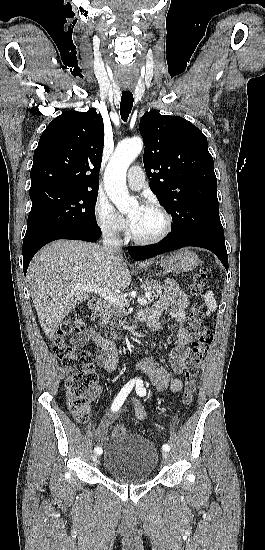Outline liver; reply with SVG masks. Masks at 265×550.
Listing matches in <instances>:
<instances>
[{"label":"liver","instance_id":"1","mask_svg":"<svg viewBox=\"0 0 265 550\" xmlns=\"http://www.w3.org/2000/svg\"><path fill=\"white\" fill-rule=\"evenodd\" d=\"M27 279L40 325L49 339L70 311L90 298L75 285L91 284L112 292L131 283L121 255L110 259L104 247L77 240H58L42 248L29 265Z\"/></svg>","mask_w":265,"mask_h":550}]
</instances>
